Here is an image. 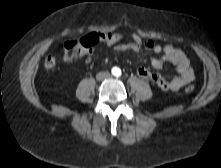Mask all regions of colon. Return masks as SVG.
Returning <instances> with one entry per match:
<instances>
[{
    "instance_id": "1",
    "label": "colon",
    "mask_w": 221,
    "mask_h": 168,
    "mask_svg": "<svg viewBox=\"0 0 221 168\" xmlns=\"http://www.w3.org/2000/svg\"><path fill=\"white\" fill-rule=\"evenodd\" d=\"M126 39V33L123 30H115L114 32H101L100 34L92 33L83 38L74 39L67 41L64 44L63 49V60L70 61L76 59L88 51H90L99 42H103L108 46L117 45ZM128 40L135 44L138 48H143L146 45V40L141 38L137 33H130L128 35ZM56 65V58L54 56H48L44 61V66L46 69H52ZM187 93H192L194 91L193 86L186 87Z\"/></svg>"
}]
</instances>
